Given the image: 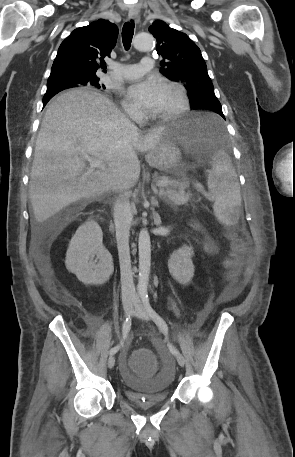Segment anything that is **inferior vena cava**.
I'll list each match as a JSON object with an SVG mask.
<instances>
[{
	"label": "inferior vena cava",
	"mask_w": 295,
	"mask_h": 457,
	"mask_svg": "<svg viewBox=\"0 0 295 457\" xmlns=\"http://www.w3.org/2000/svg\"><path fill=\"white\" fill-rule=\"evenodd\" d=\"M132 219L129 201L126 198L117 199L114 204V223L121 271L122 297L134 299L136 297L131 270L129 251L130 222Z\"/></svg>",
	"instance_id": "inferior-vena-cava-1"
}]
</instances>
